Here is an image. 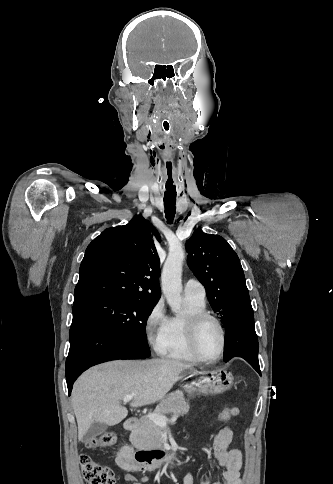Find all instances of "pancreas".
Returning <instances> with one entry per match:
<instances>
[{
    "label": "pancreas",
    "mask_w": 333,
    "mask_h": 484,
    "mask_svg": "<svg viewBox=\"0 0 333 484\" xmlns=\"http://www.w3.org/2000/svg\"><path fill=\"white\" fill-rule=\"evenodd\" d=\"M189 408L184 394L181 391H176L162 399L154 413L164 416L171 414L172 417H179L186 415L189 412ZM140 420L141 425L130 434L132 444L138 449L145 450L161 448L163 444L161 437L162 427L155 424L148 417H142Z\"/></svg>",
    "instance_id": "pancreas-1"
}]
</instances>
